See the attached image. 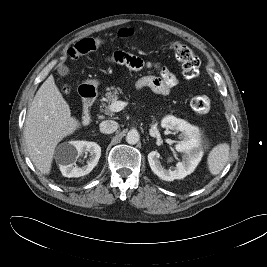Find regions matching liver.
Here are the masks:
<instances>
[{
	"label": "liver",
	"instance_id": "6515ba94",
	"mask_svg": "<svg viewBox=\"0 0 267 267\" xmlns=\"http://www.w3.org/2000/svg\"><path fill=\"white\" fill-rule=\"evenodd\" d=\"M80 127L50 75L28 109L24 130L29 157L41 173H50L57 144Z\"/></svg>",
	"mask_w": 267,
	"mask_h": 267
}]
</instances>
